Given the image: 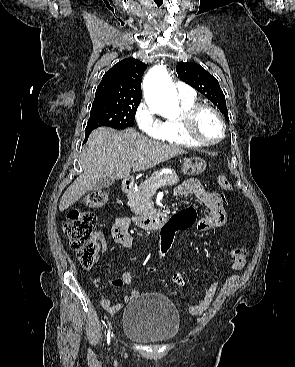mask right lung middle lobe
I'll list each match as a JSON object with an SVG mask.
<instances>
[{
  "instance_id": "1",
  "label": "right lung middle lobe",
  "mask_w": 295,
  "mask_h": 367,
  "mask_svg": "<svg viewBox=\"0 0 295 367\" xmlns=\"http://www.w3.org/2000/svg\"><path fill=\"white\" fill-rule=\"evenodd\" d=\"M140 101L109 96H95L85 137L95 128L109 126L124 129L134 125L135 113Z\"/></svg>"
}]
</instances>
